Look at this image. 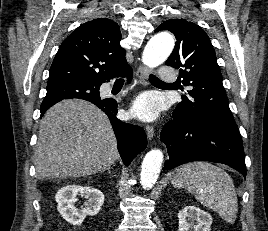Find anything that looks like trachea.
<instances>
[{
    "instance_id": "obj_1",
    "label": "trachea",
    "mask_w": 268,
    "mask_h": 231,
    "mask_svg": "<svg viewBox=\"0 0 268 231\" xmlns=\"http://www.w3.org/2000/svg\"><path fill=\"white\" fill-rule=\"evenodd\" d=\"M149 80L152 81V82H161V83H165L163 82L162 80H160L159 78H157L155 75H150L149 76Z\"/></svg>"
}]
</instances>
